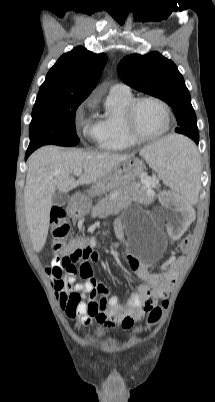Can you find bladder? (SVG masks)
<instances>
[{
  "label": "bladder",
  "instance_id": "1",
  "mask_svg": "<svg viewBox=\"0 0 215 402\" xmlns=\"http://www.w3.org/2000/svg\"><path fill=\"white\" fill-rule=\"evenodd\" d=\"M99 338H103V335H102V334H100V335H99Z\"/></svg>",
  "mask_w": 215,
  "mask_h": 402
}]
</instances>
